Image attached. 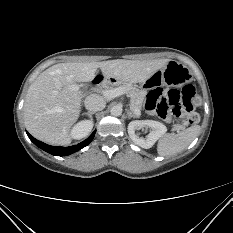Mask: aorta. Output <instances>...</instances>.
<instances>
[{
  "mask_svg": "<svg viewBox=\"0 0 233 233\" xmlns=\"http://www.w3.org/2000/svg\"><path fill=\"white\" fill-rule=\"evenodd\" d=\"M110 113L113 116H120L122 114V107L120 105H115L110 109Z\"/></svg>",
  "mask_w": 233,
  "mask_h": 233,
  "instance_id": "aorta-1",
  "label": "aorta"
}]
</instances>
